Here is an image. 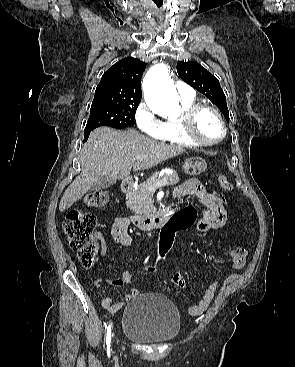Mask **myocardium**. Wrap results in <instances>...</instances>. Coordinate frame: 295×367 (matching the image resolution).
I'll use <instances>...</instances> for the list:
<instances>
[{"mask_svg": "<svg viewBox=\"0 0 295 367\" xmlns=\"http://www.w3.org/2000/svg\"><path fill=\"white\" fill-rule=\"evenodd\" d=\"M203 110H209L212 113L215 114V116L217 117V119L219 120L221 127H222V134L219 138L212 140V141H208L205 139H202L198 133H197V119L199 114L203 111ZM180 124L186 134V136L193 141L194 143L200 145V146H213L216 145L218 143H220L221 141L224 140V138L227 135V125L226 122L222 116V114L220 113V111L215 108L214 106L207 104V103H196L193 104L191 107L187 108L186 110H184L182 116L179 119Z\"/></svg>", "mask_w": 295, "mask_h": 367, "instance_id": "f54148a6", "label": "myocardium"}]
</instances>
